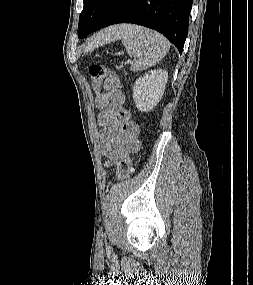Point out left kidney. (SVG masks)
Listing matches in <instances>:
<instances>
[{
  "label": "left kidney",
  "instance_id": "left-kidney-1",
  "mask_svg": "<svg viewBox=\"0 0 253 285\" xmlns=\"http://www.w3.org/2000/svg\"><path fill=\"white\" fill-rule=\"evenodd\" d=\"M168 72L166 70H151L139 77L133 86V99L137 109L141 112L151 111L161 100Z\"/></svg>",
  "mask_w": 253,
  "mask_h": 285
}]
</instances>
